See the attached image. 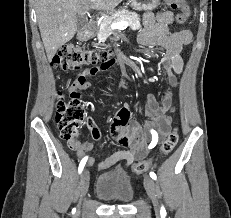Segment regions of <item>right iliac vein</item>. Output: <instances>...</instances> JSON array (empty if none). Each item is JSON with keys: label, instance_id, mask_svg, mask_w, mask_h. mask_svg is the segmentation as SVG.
<instances>
[{"label": "right iliac vein", "instance_id": "1", "mask_svg": "<svg viewBox=\"0 0 231 218\" xmlns=\"http://www.w3.org/2000/svg\"><path fill=\"white\" fill-rule=\"evenodd\" d=\"M89 188V171L87 169H84V171L81 174L80 178V198L82 199Z\"/></svg>", "mask_w": 231, "mask_h": 218}]
</instances>
